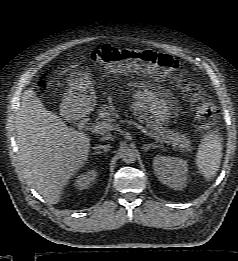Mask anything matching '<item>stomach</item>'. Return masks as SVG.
Segmentation results:
<instances>
[{
    "instance_id": "0dacf381",
    "label": "stomach",
    "mask_w": 238,
    "mask_h": 261,
    "mask_svg": "<svg viewBox=\"0 0 238 261\" xmlns=\"http://www.w3.org/2000/svg\"><path fill=\"white\" fill-rule=\"evenodd\" d=\"M67 83L69 87L63 99V106L74 115L90 112L96 104L91 74L76 69L71 72Z\"/></svg>"
}]
</instances>
